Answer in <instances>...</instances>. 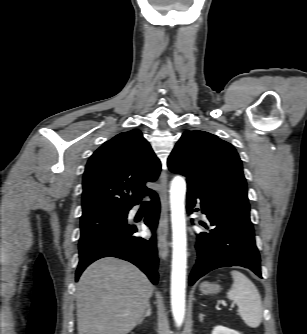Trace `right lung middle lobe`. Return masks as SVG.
<instances>
[{
  "label": "right lung middle lobe",
  "instance_id": "1",
  "mask_svg": "<svg viewBox=\"0 0 307 334\" xmlns=\"http://www.w3.org/2000/svg\"><path fill=\"white\" fill-rule=\"evenodd\" d=\"M127 213L101 212L82 216L79 249L108 233L130 226L126 220Z\"/></svg>",
  "mask_w": 307,
  "mask_h": 334
}]
</instances>
